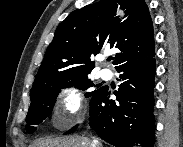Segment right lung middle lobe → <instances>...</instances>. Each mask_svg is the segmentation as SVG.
<instances>
[{
  "label": "right lung middle lobe",
  "mask_w": 183,
  "mask_h": 147,
  "mask_svg": "<svg viewBox=\"0 0 183 147\" xmlns=\"http://www.w3.org/2000/svg\"><path fill=\"white\" fill-rule=\"evenodd\" d=\"M72 85H75V87L81 90H87L94 86L87 74L77 77L57 79L44 87L31 91V105L26 117V131L28 133H33L36 130L35 125L40 124L51 114L60 89ZM97 90L87 92L85 96L91 97Z\"/></svg>",
  "instance_id": "1"
}]
</instances>
